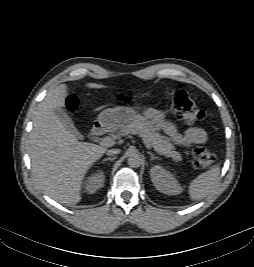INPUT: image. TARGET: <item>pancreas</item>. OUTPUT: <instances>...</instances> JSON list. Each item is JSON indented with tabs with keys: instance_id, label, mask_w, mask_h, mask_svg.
<instances>
[{
	"instance_id": "cf45deb5",
	"label": "pancreas",
	"mask_w": 254,
	"mask_h": 267,
	"mask_svg": "<svg viewBox=\"0 0 254 267\" xmlns=\"http://www.w3.org/2000/svg\"><path fill=\"white\" fill-rule=\"evenodd\" d=\"M118 134L122 136H126L128 134H138L160 155L172 158L175 162L182 161V156L179 152L175 151L174 145L140 115H138L134 121L122 127Z\"/></svg>"
}]
</instances>
